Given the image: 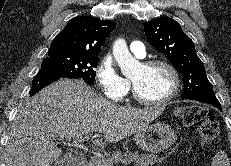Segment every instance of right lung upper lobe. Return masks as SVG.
<instances>
[{"mask_svg":"<svg viewBox=\"0 0 231 166\" xmlns=\"http://www.w3.org/2000/svg\"><path fill=\"white\" fill-rule=\"evenodd\" d=\"M115 27L114 21L87 16L75 17L54 38L48 53L68 52L98 56L106 37Z\"/></svg>","mask_w":231,"mask_h":166,"instance_id":"1","label":"right lung upper lobe"}]
</instances>
